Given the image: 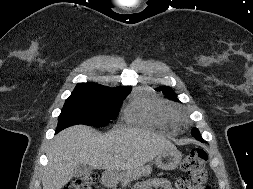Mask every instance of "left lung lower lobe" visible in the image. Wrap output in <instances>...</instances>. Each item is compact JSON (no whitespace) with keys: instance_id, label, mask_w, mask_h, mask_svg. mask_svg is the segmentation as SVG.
Returning <instances> with one entry per match:
<instances>
[{"instance_id":"1","label":"left lung lower lobe","mask_w":253,"mask_h":189,"mask_svg":"<svg viewBox=\"0 0 253 189\" xmlns=\"http://www.w3.org/2000/svg\"><path fill=\"white\" fill-rule=\"evenodd\" d=\"M192 136L195 137L200 142H204L203 139L201 138L200 134H192Z\"/></svg>"}]
</instances>
